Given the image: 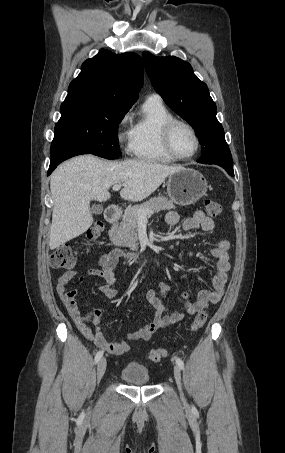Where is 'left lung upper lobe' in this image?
Segmentation results:
<instances>
[{
  "label": "left lung upper lobe",
  "mask_w": 285,
  "mask_h": 453,
  "mask_svg": "<svg viewBox=\"0 0 285 453\" xmlns=\"http://www.w3.org/2000/svg\"><path fill=\"white\" fill-rule=\"evenodd\" d=\"M146 72L165 103L186 120L199 139V163L233 167L224 129L216 118L217 108L207 85L193 73L191 65L174 56L155 57L143 52Z\"/></svg>",
  "instance_id": "5c2ea615"
}]
</instances>
